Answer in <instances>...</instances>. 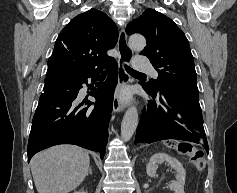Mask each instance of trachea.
Listing matches in <instances>:
<instances>
[{
  "instance_id": "3493384b",
  "label": "trachea",
  "mask_w": 237,
  "mask_h": 193,
  "mask_svg": "<svg viewBox=\"0 0 237 193\" xmlns=\"http://www.w3.org/2000/svg\"><path fill=\"white\" fill-rule=\"evenodd\" d=\"M125 68H126L127 72H128L129 74H131V75H145V74H143V73H140V72H138V71L133 70V69L130 68L129 66H125Z\"/></svg>"
}]
</instances>
